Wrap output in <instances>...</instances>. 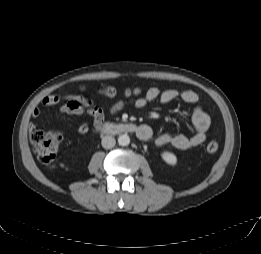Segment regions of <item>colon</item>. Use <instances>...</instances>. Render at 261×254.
I'll use <instances>...</instances> for the list:
<instances>
[{"instance_id": "obj_1", "label": "colon", "mask_w": 261, "mask_h": 254, "mask_svg": "<svg viewBox=\"0 0 261 254\" xmlns=\"http://www.w3.org/2000/svg\"><path fill=\"white\" fill-rule=\"evenodd\" d=\"M138 92V89L131 88H126L120 91L113 86H103L98 88V93L107 97H114L117 95L130 97L138 94ZM62 139L63 136L58 131L35 130L31 134V145L34 152L37 154V156L43 163L49 166H54V161L57 156V152L62 142ZM218 148V144L212 141L208 143L206 150L208 153L214 154L218 151Z\"/></svg>"}]
</instances>
